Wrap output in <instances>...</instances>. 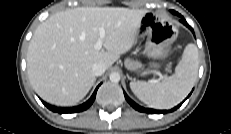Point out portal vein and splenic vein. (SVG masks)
I'll return each instance as SVG.
<instances>
[{
    "label": "portal vein and splenic vein",
    "instance_id": "portal-vein-and-splenic-vein-1",
    "mask_svg": "<svg viewBox=\"0 0 231 134\" xmlns=\"http://www.w3.org/2000/svg\"><path fill=\"white\" fill-rule=\"evenodd\" d=\"M99 35H100V37H99L98 41L95 44V49H97V50H100L102 48L103 40L105 38V30H104L103 27L99 28Z\"/></svg>",
    "mask_w": 231,
    "mask_h": 134
}]
</instances>
